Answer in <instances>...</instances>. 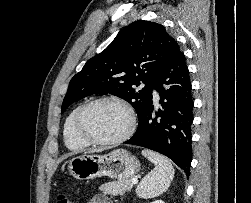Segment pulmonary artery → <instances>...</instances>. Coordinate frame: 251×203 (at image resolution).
I'll use <instances>...</instances> for the list:
<instances>
[{"instance_id":"pulmonary-artery-1","label":"pulmonary artery","mask_w":251,"mask_h":203,"mask_svg":"<svg viewBox=\"0 0 251 203\" xmlns=\"http://www.w3.org/2000/svg\"><path fill=\"white\" fill-rule=\"evenodd\" d=\"M154 95L157 96L156 92H154Z\"/></svg>"}]
</instances>
